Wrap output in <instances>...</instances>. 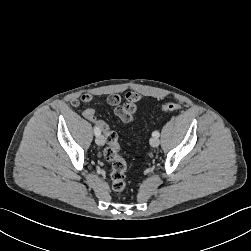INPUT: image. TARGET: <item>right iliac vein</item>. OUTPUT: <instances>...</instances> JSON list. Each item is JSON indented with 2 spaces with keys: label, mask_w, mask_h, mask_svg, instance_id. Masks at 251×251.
Segmentation results:
<instances>
[{
  "label": "right iliac vein",
  "mask_w": 251,
  "mask_h": 251,
  "mask_svg": "<svg viewBox=\"0 0 251 251\" xmlns=\"http://www.w3.org/2000/svg\"><path fill=\"white\" fill-rule=\"evenodd\" d=\"M95 141H96V144L99 146H103L105 143L104 137L101 134L96 136Z\"/></svg>",
  "instance_id": "1"
}]
</instances>
